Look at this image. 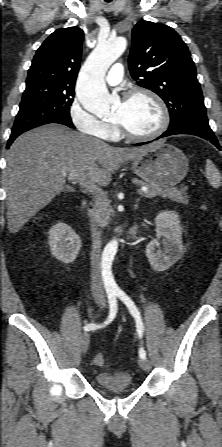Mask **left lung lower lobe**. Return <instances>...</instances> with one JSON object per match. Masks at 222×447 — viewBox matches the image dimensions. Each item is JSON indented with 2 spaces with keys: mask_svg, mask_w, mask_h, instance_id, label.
Instances as JSON below:
<instances>
[{
  "mask_svg": "<svg viewBox=\"0 0 222 447\" xmlns=\"http://www.w3.org/2000/svg\"><path fill=\"white\" fill-rule=\"evenodd\" d=\"M176 134H190V135H196L201 138H204L206 140H209L212 144H214L218 149H221V146L217 140V138L214 136L212 130H204L201 127H198L193 124L189 123H182L178 124L173 127H169V129L164 132L159 138L167 137L170 135H176ZM146 143H138L136 146L143 145Z\"/></svg>",
  "mask_w": 222,
  "mask_h": 447,
  "instance_id": "obj_1",
  "label": "left lung lower lobe"
}]
</instances>
